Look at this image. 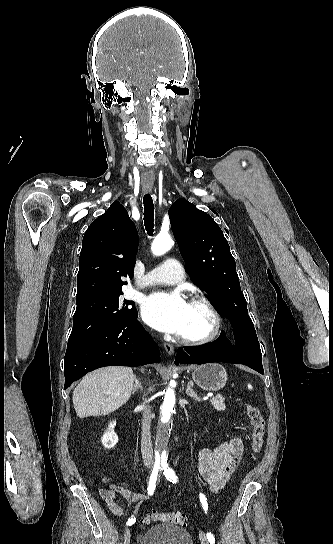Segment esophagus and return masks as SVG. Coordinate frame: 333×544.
<instances>
[{"label": "esophagus", "instance_id": "1", "mask_svg": "<svg viewBox=\"0 0 333 544\" xmlns=\"http://www.w3.org/2000/svg\"><path fill=\"white\" fill-rule=\"evenodd\" d=\"M144 192H145V193H150V192H151V189L146 188V189H144ZM163 347H164V349L166 350V352H167L168 354H170V355L174 354V347H173V345H171V344H169V343H164V344H163Z\"/></svg>", "mask_w": 333, "mask_h": 544}]
</instances>
